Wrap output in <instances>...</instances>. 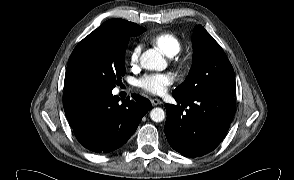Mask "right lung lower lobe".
<instances>
[{
    "instance_id": "98d812e1",
    "label": "right lung lower lobe",
    "mask_w": 294,
    "mask_h": 180,
    "mask_svg": "<svg viewBox=\"0 0 294 180\" xmlns=\"http://www.w3.org/2000/svg\"><path fill=\"white\" fill-rule=\"evenodd\" d=\"M111 90L87 89L63 95V106L78 141L96 153L124 145L150 110L148 99L133 94L122 104Z\"/></svg>"
}]
</instances>
